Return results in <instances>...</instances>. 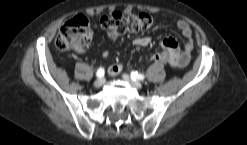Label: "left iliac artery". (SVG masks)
<instances>
[{
  "mask_svg": "<svg viewBox=\"0 0 247 145\" xmlns=\"http://www.w3.org/2000/svg\"><path fill=\"white\" fill-rule=\"evenodd\" d=\"M131 78L133 80H144L145 76L143 74L138 73L137 71H132Z\"/></svg>",
  "mask_w": 247,
  "mask_h": 145,
  "instance_id": "1",
  "label": "left iliac artery"
}]
</instances>
